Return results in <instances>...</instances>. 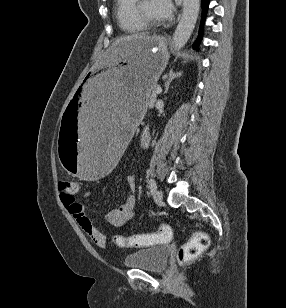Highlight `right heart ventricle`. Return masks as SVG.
I'll return each mask as SVG.
<instances>
[{
	"instance_id": "e07e8e85",
	"label": "right heart ventricle",
	"mask_w": 286,
	"mask_h": 308,
	"mask_svg": "<svg viewBox=\"0 0 286 308\" xmlns=\"http://www.w3.org/2000/svg\"><path fill=\"white\" fill-rule=\"evenodd\" d=\"M115 2V17L123 32L133 34L146 30V27L136 18L133 11L137 0H115Z\"/></svg>"
}]
</instances>
